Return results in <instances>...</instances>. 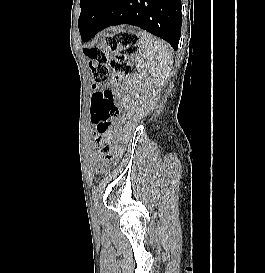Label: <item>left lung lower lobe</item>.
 <instances>
[{"label":"left lung lower lobe","instance_id":"1","mask_svg":"<svg viewBox=\"0 0 265 273\" xmlns=\"http://www.w3.org/2000/svg\"><path fill=\"white\" fill-rule=\"evenodd\" d=\"M79 31L89 41L102 29L131 24L166 40L177 50L181 36V0H92Z\"/></svg>","mask_w":265,"mask_h":273}]
</instances>
